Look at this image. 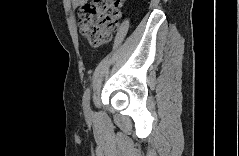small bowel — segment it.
I'll list each match as a JSON object with an SVG mask.
<instances>
[{
  "mask_svg": "<svg viewBox=\"0 0 239 156\" xmlns=\"http://www.w3.org/2000/svg\"><path fill=\"white\" fill-rule=\"evenodd\" d=\"M81 2H82L81 0H73L71 3L73 7H77L81 4Z\"/></svg>",
  "mask_w": 239,
  "mask_h": 156,
  "instance_id": "c3829d8e",
  "label": "small bowel"
}]
</instances>
